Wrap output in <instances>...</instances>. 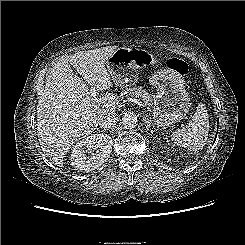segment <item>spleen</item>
Listing matches in <instances>:
<instances>
[{
    "label": "spleen",
    "instance_id": "1",
    "mask_svg": "<svg viewBox=\"0 0 245 245\" xmlns=\"http://www.w3.org/2000/svg\"><path fill=\"white\" fill-rule=\"evenodd\" d=\"M209 119L203 104H198L196 112L189 121L186 129H178L171 134L172 141L188 150H201L208 138Z\"/></svg>",
    "mask_w": 245,
    "mask_h": 245
}]
</instances>
